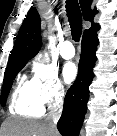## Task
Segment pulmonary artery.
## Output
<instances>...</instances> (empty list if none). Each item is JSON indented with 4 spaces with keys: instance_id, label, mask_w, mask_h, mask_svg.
Returning <instances> with one entry per match:
<instances>
[{
    "instance_id": "e3ab8cb5",
    "label": "pulmonary artery",
    "mask_w": 117,
    "mask_h": 136,
    "mask_svg": "<svg viewBox=\"0 0 117 136\" xmlns=\"http://www.w3.org/2000/svg\"><path fill=\"white\" fill-rule=\"evenodd\" d=\"M60 54L65 59L73 58L75 55V49L71 41L65 40L60 47Z\"/></svg>"
}]
</instances>
